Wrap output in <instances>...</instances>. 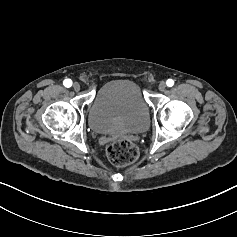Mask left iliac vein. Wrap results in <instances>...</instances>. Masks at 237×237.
<instances>
[{
  "label": "left iliac vein",
  "mask_w": 237,
  "mask_h": 237,
  "mask_svg": "<svg viewBox=\"0 0 237 237\" xmlns=\"http://www.w3.org/2000/svg\"><path fill=\"white\" fill-rule=\"evenodd\" d=\"M158 88H159L160 91H164L165 88H166V83H165V82H161V83L159 84Z\"/></svg>",
  "instance_id": "1"
}]
</instances>
